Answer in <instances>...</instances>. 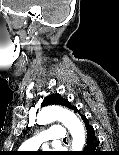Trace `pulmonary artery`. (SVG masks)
<instances>
[{
	"label": "pulmonary artery",
	"mask_w": 119,
	"mask_h": 155,
	"mask_svg": "<svg viewBox=\"0 0 119 155\" xmlns=\"http://www.w3.org/2000/svg\"><path fill=\"white\" fill-rule=\"evenodd\" d=\"M66 137L65 129L62 126H52L37 136L25 141L22 145L23 150H37L42 143L60 142Z\"/></svg>",
	"instance_id": "pulmonary-artery-1"
}]
</instances>
